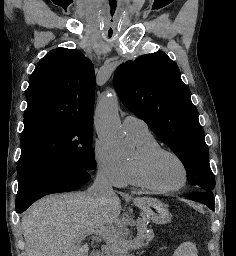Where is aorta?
Masks as SVG:
<instances>
[{
  "label": "aorta",
  "mask_w": 236,
  "mask_h": 256,
  "mask_svg": "<svg viewBox=\"0 0 236 256\" xmlns=\"http://www.w3.org/2000/svg\"><path fill=\"white\" fill-rule=\"evenodd\" d=\"M94 125L98 137L109 147L123 148L126 145L118 114V97L114 91L103 96L99 101Z\"/></svg>",
  "instance_id": "aorta-1"
}]
</instances>
